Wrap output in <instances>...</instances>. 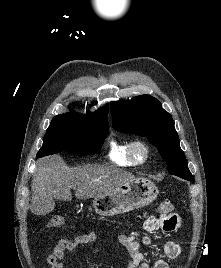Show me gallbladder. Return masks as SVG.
Segmentation results:
<instances>
[{"instance_id":"1","label":"gallbladder","mask_w":221,"mask_h":268,"mask_svg":"<svg viewBox=\"0 0 221 268\" xmlns=\"http://www.w3.org/2000/svg\"><path fill=\"white\" fill-rule=\"evenodd\" d=\"M53 207L55 202L52 199H34L30 208L36 217H45L46 213L52 212Z\"/></svg>"}]
</instances>
